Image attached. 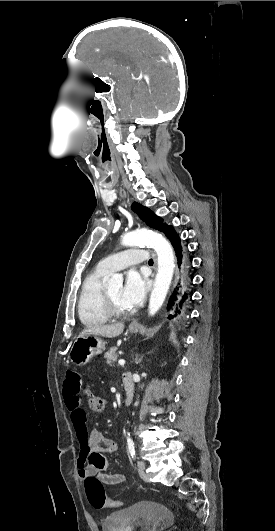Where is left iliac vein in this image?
Listing matches in <instances>:
<instances>
[{
    "mask_svg": "<svg viewBox=\"0 0 275 531\" xmlns=\"http://www.w3.org/2000/svg\"><path fill=\"white\" fill-rule=\"evenodd\" d=\"M137 468H138V474L141 477V479L145 482H149V476L147 473H145V463L143 461L137 462Z\"/></svg>",
    "mask_w": 275,
    "mask_h": 531,
    "instance_id": "1",
    "label": "left iliac vein"
}]
</instances>
